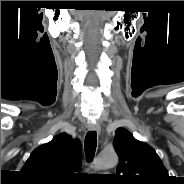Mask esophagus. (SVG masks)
Wrapping results in <instances>:
<instances>
[{
    "label": "esophagus",
    "mask_w": 184,
    "mask_h": 184,
    "mask_svg": "<svg viewBox=\"0 0 184 184\" xmlns=\"http://www.w3.org/2000/svg\"><path fill=\"white\" fill-rule=\"evenodd\" d=\"M88 129L90 131H95L97 133L101 132V127L98 123H90L89 126H88Z\"/></svg>",
    "instance_id": "34e87169"
}]
</instances>
